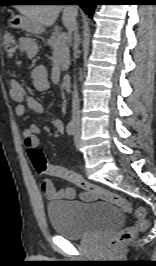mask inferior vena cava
I'll use <instances>...</instances> for the list:
<instances>
[{"instance_id":"602c4592","label":"inferior vena cava","mask_w":156,"mask_h":266,"mask_svg":"<svg viewBox=\"0 0 156 266\" xmlns=\"http://www.w3.org/2000/svg\"><path fill=\"white\" fill-rule=\"evenodd\" d=\"M72 9L75 15H77V6L72 5ZM71 31H73L74 33V49H77L79 46V42H80V36L78 33V25H77L76 19L74 20ZM72 120L75 123L80 122L79 96H78V90H77L76 83H74V91H73V99H72Z\"/></svg>"}]
</instances>
